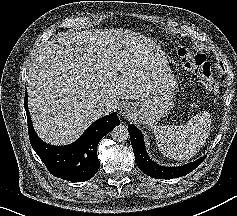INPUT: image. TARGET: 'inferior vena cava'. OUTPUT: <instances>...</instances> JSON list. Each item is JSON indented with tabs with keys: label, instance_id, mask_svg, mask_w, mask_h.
I'll return each mask as SVG.
<instances>
[{
	"label": "inferior vena cava",
	"instance_id": "602c4592",
	"mask_svg": "<svg viewBox=\"0 0 237 216\" xmlns=\"http://www.w3.org/2000/svg\"><path fill=\"white\" fill-rule=\"evenodd\" d=\"M118 102L113 101L111 99L105 98L102 99L99 105L103 110H110V109H116L118 107Z\"/></svg>",
	"mask_w": 237,
	"mask_h": 216
}]
</instances>
